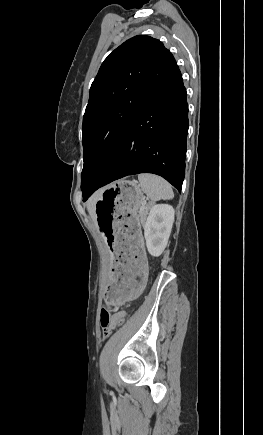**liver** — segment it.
I'll return each mask as SVG.
<instances>
[{"mask_svg":"<svg viewBox=\"0 0 263 435\" xmlns=\"http://www.w3.org/2000/svg\"><path fill=\"white\" fill-rule=\"evenodd\" d=\"M87 209H88V212H89L90 216L92 217V219H93V220H96V216H95V208H94V205H93V201H92V200L88 203V205H87Z\"/></svg>","mask_w":263,"mask_h":435,"instance_id":"obj_1","label":"liver"}]
</instances>
